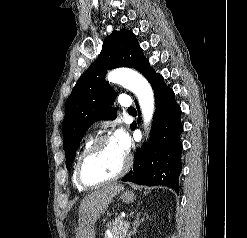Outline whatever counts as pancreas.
Segmentation results:
<instances>
[{
    "label": "pancreas",
    "mask_w": 247,
    "mask_h": 238,
    "mask_svg": "<svg viewBox=\"0 0 247 238\" xmlns=\"http://www.w3.org/2000/svg\"><path fill=\"white\" fill-rule=\"evenodd\" d=\"M129 225L122 218H118L114 222V226L110 227L111 236L105 235V238H126Z\"/></svg>",
    "instance_id": "1"
}]
</instances>
